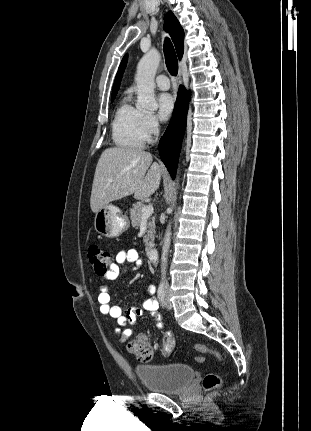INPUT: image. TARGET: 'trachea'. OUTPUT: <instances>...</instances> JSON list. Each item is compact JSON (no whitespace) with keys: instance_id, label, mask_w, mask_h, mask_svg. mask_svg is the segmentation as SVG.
I'll list each match as a JSON object with an SVG mask.
<instances>
[{"instance_id":"3493384b","label":"trachea","mask_w":311,"mask_h":431,"mask_svg":"<svg viewBox=\"0 0 311 431\" xmlns=\"http://www.w3.org/2000/svg\"><path fill=\"white\" fill-rule=\"evenodd\" d=\"M165 63L169 73L176 76L178 73V59L171 41L167 38L164 42Z\"/></svg>"}]
</instances>
